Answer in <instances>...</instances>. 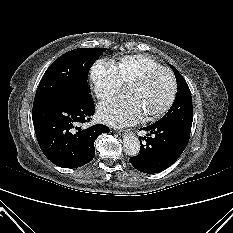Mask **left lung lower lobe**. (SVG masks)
<instances>
[{"label": "left lung lower lobe", "mask_w": 233, "mask_h": 233, "mask_svg": "<svg viewBox=\"0 0 233 233\" xmlns=\"http://www.w3.org/2000/svg\"><path fill=\"white\" fill-rule=\"evenodd\" d=\"M142 130L148 132L140 153L130 158L133 167L144 173H158L170 167L186 148L190 133L170 122L157 121Z\"/></svg>", "instance_id": "0a47b994"}]
</instances>
